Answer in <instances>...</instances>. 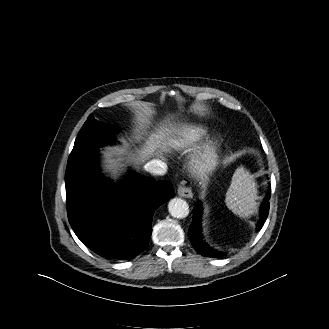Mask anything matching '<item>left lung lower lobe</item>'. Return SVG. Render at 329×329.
Listing matches in <instances>:
<instances>
[{
	"instance_id": "0a47b994",
	"label": "left lung lower lobe",
	"mask_w": 329,
	"mask_h": 329,
	"mask_svg": "<svg viewBox=\"0 0 329 329\" xmlns=\"http://www.w3.org/2000/svg\"><path fill=\"white\" fill-rule=\"evenodd\" d=\"M270 198V193L267 195V197L265 198L264 203L261 206V219L260 222L257 225V230H260L269 213V200ZM201 204L198 202L195 205V208L193 210V221L192 224L190 225L189 228V239L194 247V249L203 256H207V257H213V258H219L221 256H223V253H219L215 250H213L212 248H210L204 241H203V237H202V231H201Z\"/></svg>"
}]
</instances>
